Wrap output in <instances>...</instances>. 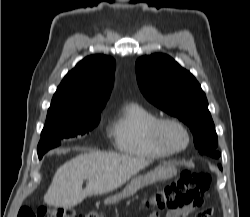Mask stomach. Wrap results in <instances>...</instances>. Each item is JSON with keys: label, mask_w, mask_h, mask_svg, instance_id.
<instances>
[{"label": "stomach", "mask_w": 250, "mask_h": 217, "mask_svg": "<svg viewBox=\"0 0 250 217\" xmlns=\"http://www.w3.org/2000/svg\"><path fill=\"white\" fill-rule=\"evenodd\" d=\"M175 174L176 168L174 165L169 163L162 164L145 175L135 176L121 194L107 197L104 200V204H115L122 198L134 195L139 189L143 188L144 186L163 179L170 178Z\"/></svg>", "instance_id": "obj_1"}]
</instances>
